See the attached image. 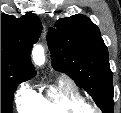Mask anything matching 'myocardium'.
<instances>
[{"instance_id":"obj_1","label":"myocardium","mask_w":121,"mask_h":113,"mask_svg":"<svg viewBox=\"0 0 121 113\" xmlns=\"http://www.w3.org/2000/svg\"><path fill=\"white\" fill-rule=\"evenodd\" d=\"M86 110H95V111H99V110H101L99 107H97V106H91V107H87L86 108Z\"/></svg>"}]
</instances>
